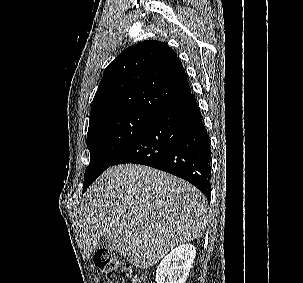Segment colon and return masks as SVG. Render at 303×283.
Returning a JSON list of instances; mask_svg holds the SVG:
<instances>
[{
    "label": "colon",
    "instance_id": "1",
    "mask_svg": "<svg viewBox=\"0 0 303 283\" xmlns=\"http://www.w3.org/2000/svg\"><path fill=\"white\" fill-rule=\"evenodd\" d=\"M93 260L110 283H149L143 274L106 249L96 250Z\"/></svg>",
    "mask_w": 303,
    "mask_h": 283
}]
</instances>
